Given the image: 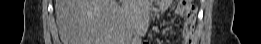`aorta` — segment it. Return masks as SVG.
<instances>
[{
    "label": "aorta",
    "mask_w": 261,
    "mask_h": 44,
    "mask_svg": "<svg viewBox=\"0 0 261 44\" xmlns=\"http://www.w3.org/2000/svg\"><path fill=\"white\" fill-rule=\"evenodd\" d=\"M137 41H138V35L136 34L134 37V42H137Z\"/></svg>",
    "instance_id": "aorta-1"
}]
</instances>
